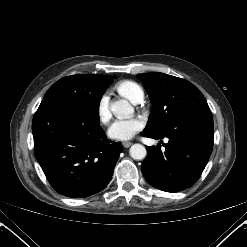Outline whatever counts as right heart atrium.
Segmentation results:
<instances>
[{"mask_svg":"<svg viewBox=\"0 0 247 247\" xmlns=\"http://www.w3.org/2000/svg\"><path fill=\"white\" fill-rule=\"evenodd\" d=\"M97 116L104 125L108 124L111 120L110 99L107 94H103L98 101Z\"/></svg>","mask_w":247,"mask_h":247,"instance_id":"1","label":"right heart atrium"}]
</instances>
